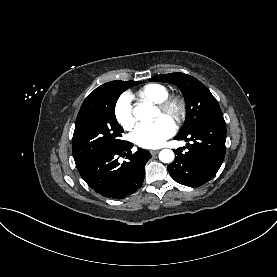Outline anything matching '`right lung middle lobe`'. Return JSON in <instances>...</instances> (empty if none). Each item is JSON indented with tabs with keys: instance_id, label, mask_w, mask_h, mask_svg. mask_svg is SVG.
Listing matches in <instances>:
<instances>
[{
	"instance_id": "obj_1",
	"label": "right lung middle lobe",
	"mask_w": 277,
	"mask_h": 277,
	"mask_svg": "<svg viewBox=\"0 0 277 277\" xmlns=\"http://www.w3.org/2000/svg\"><path fill=\"white\" fill-rule=\"evenodd\" d=\"M140 81H111L99 86L97 93L83 102L77 115L72 153L78 160L96 151L118 148L127 143L121 139L123 129L115 117L120 94Z\"/></svg>"
}]
</instances>
